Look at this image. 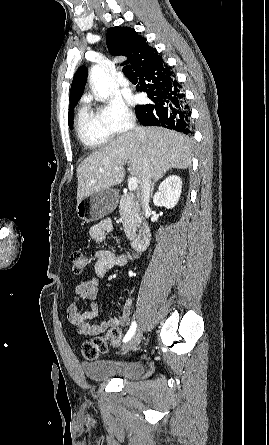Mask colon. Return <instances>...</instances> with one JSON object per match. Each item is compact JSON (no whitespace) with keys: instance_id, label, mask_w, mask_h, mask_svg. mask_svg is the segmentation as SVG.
Segmentation results:
<instances>
[{"instance_id":"colon-1","label":"colon","mask_w":269,"mask_h":445,"mask_svg":"<svg viewBox=\"0 0 269 445\" xmlns=\"http://www.w3.org/2000/svg\"><path fill=\"white\" fill-rule=\"evenodd\" d=\"M72 269L75 274H81L89 265V258L81 250H75L71 254ZM119 330H111L104 337H95L82 344V355L88 360H95L100 354L107 352L108 342L118 347L121 343Z\"/></svg>"}]
</instances>
